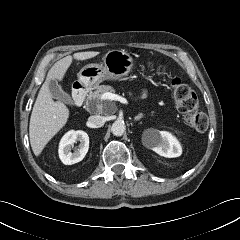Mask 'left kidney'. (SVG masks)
Listing matches in <instances>:
<instances>
[{
  "instance_id": "left-kidney-1",
  "label": "left kidney",
  "mask_w": 240,
  "mask_h": 240,
  "mask_svg": "<svg viewBox=\"0 0 240 240\" xmlns=\"http://www.w3.org/2000/svg\"><path fill=\"white\" fill-rule=\"evenodd\" d=\"M144 143L160 156L173 158L179 157L182 148L178 140L167 131L148 129L144 132Z\"/></svg>"
}]
</instances>
